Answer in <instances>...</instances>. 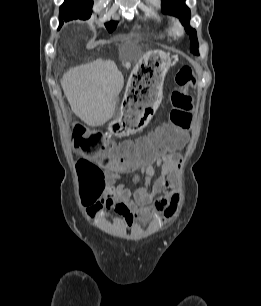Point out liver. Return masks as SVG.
<instances>
[{
    "mask_svg": "<svg viewBox=\"0 0 261 306\" xmlns=\"http://www.w3.org/2000/svg\"><path fill=\"white\" fill-rule=\"evenodd\" d=\"M61 85L75 115L89 126H101L115 114L124 77L113 61L99 59L70 68Z\"/></svg>",
    "mask_w": 261,
    "mask_h": 306,
    "instance_id": "liver-1",
    "label": "liver"
}]
</instances>
